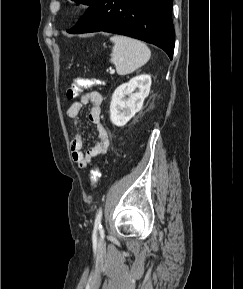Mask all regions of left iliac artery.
<instances>
[{"label":"left iliac artery","instance_id":"44dca946","mask_svg":"<svg viewBox=\"0 0 243 289\" xmlns=\"http://www.w3.org/2000/svg\"><path fill=\"white\" fill-rule=\"evenodd\" d=\"M101 220H102V209H100L96 215V218H95V223H94V227L96 229H100L102 228L101 226Z\"/></svg>","mask_w":243,"mask_h":289}]
</instances>
